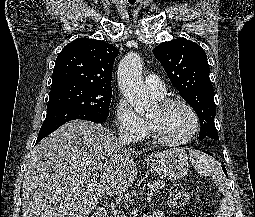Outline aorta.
<instances>
[{
  "label": "aorta",
  "mask_w": 255,
  "mask_h": 217,
  "mask_svg": "<svg viewBox=\"0 0 255 217\" xmlns=\"http://www.w3.org/2000/svg\"><path fill=\"white\" fill-rule=\"evenodd\" d=\"M120 90L136 113L143 115L152 109L156 102L145 90L142 77V60L138 53L126 54L117 71Z\"/></svg>",
  "instance_id": "1"
}]
</instances>
